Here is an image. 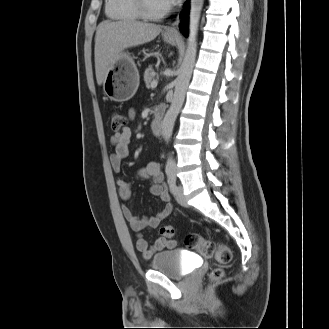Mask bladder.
<instances>
[{"label": "bladder", "mask_w": 329, "mask_h": 329, "mask_svg": "<svg viewBox=\"0 0 329 329\" xmlns=\"http://www.w3.org/2000/svg\"><path fill=\"white\" fill-rule=\"evenodd\" d=\"M153 271L162 272L170 278L181 279L187 275L179 249L158 252L151 261Z\"/></svg>", "instance_id": "obj_1"}]
</instances>
